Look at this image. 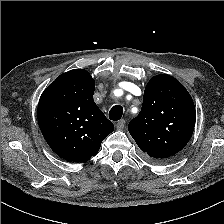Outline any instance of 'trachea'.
<instances>
[{"instance_id": "obj_1", "label": "trachea", "mask_w": 224, "mask_h": 224, "mask_svg": "<svg viewBox=\"0 0 224 224\" xmlns=\"http://www.w3.org/2000/svg\"><path fill=\"white\" fill-rule=\"evenodd\" d=\"M123 114V108L120 105H115L109 111V118L113 121H118L121 119Z\"/></svg>"}]
</instances>
